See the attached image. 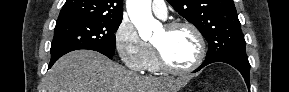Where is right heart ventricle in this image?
<instances>
[{
    "label": "right heart ventricle",
    "mask_w": 289,
    "mask_h": 92,
    "mask_svg": "<svg viewBox=\"0 0 289 92\" xmlns=\"http://www.w3.org/2000/svg\"><path fill=\"white\" fill-rule=\"evenodd\" d=\"M147 68L149 70H152V71H156V70H158L160 68L159 65H158V62H157L155 54H153V56H152Z\"/></svg>",
    "instance_id": "right-heart-ventricle-1"
}]
</instances>
